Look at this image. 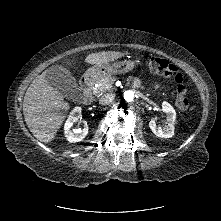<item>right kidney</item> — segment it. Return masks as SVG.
Returning a JSON list of instances; mask_svg holds the SVG:
<instances>
[{"instance_id": "1", "label": "right kidney", "mask_w": 221, "mask_h": 221, "mask_svg": "<svg viewBox=\"0 0 221 221\" xmlns=\"http://www.w3.org/2000/svg\"><path fill=\"white\" fill-rule=\"evenodd\" d=\"M81 116V108L76 107L70 113L65 126H64V134L67 140L70 143H76L81 141L88 134V126L85 124L83 129H71L73 124L78 121Z\"/></svg>"}]
</instances>
